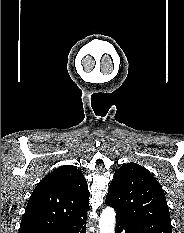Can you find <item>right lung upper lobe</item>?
<instances>
[{"instance_id": "right-lung-upper-lobe-1", "label": "right lung upper lobe", "mask_w": 184, "mask_h": 233, "mask_svg": "<svg viewBox=\"0 0 184 233\" xmlns=\"http://www.w3.org/2000/svg\"><path fill=\"white\" fill-rule=\"evenodd\" d=\"M89 196L86 179L76 167L64 165L55 169L31 194L19 233H38L86 217Z\"/></svg>"}]
</instances>
